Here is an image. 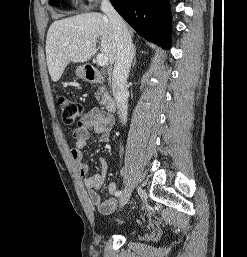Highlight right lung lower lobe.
<instances>
[{
	"mask_svg": "<svg viewBox=\"0 0 247 257\" xmlns=\"http://www.w3.org/2000/svg\"><path fill=\"white\" fill-rule=\"evenodd\" d=\"M111 3L140 36L163 48L170 47L169 0H111Z\"/></svg>",
	"mask_w": 247,
	"mask_h": 257,
	"instance_id": "98d812e1",
	"label": "right lung lower lobe"
}]
</instances>
